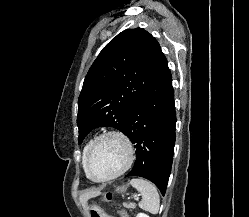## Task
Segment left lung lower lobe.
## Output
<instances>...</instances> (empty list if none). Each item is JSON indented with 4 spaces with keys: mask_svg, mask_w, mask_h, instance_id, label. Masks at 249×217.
I'll list each match as a JSON object with an SVG mask.
<instances>
[{
    "mask_svg": "<svg viewBox=\"0 0 249 217\" xmlns=\"http://www.w3.org/2000/svg\"><path fill=\"white\" fill-rule=\"evenodd\" d=\"M176 113L168 65L135 103L125 135L135 143L136 161L126 176H140L166 192L175 145Z\"/></svg>",
    "mask_w": 249,
    "mask_h": 217,
    "instance_id": "left-lung-lower-lobe-1",
    "label": "left lung lower lobe"
}]
</instances>
